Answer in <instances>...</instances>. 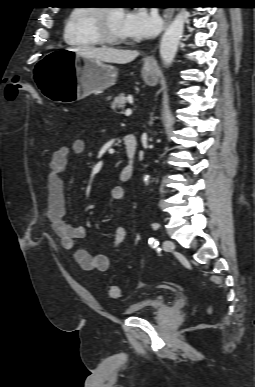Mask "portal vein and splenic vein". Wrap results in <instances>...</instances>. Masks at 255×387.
<instances>
[{"instance_id": "18ae733b", "label": "portal vein and splenic vein", "mask_w": 255, "mask_h": 387, "mask_svg": "<svg viewBox=\"0 0 255 387\" xmlns=\"http://www.w3.org/2000/svg\"><path fill=\"white\" fill-rule=\"evenodd\" d=\"M131 114H132V109H130V108L126 109L125 115H126V116H129V115H131Z\"/></svg>"}]
</instances>
